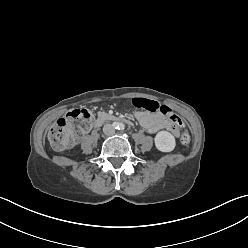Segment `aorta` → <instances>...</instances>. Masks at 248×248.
Masks as SVG:
<instances>
[{
	"label": "aorta",
	"mask_w": 248,
	"mask_h": 248,
	"mask_svg": "<svg viewBox=\"0 0 248 248\" xmlns=\"http://www.w3.org/2000/svg\"><path fill=\"white\" fill-rule=\"evenodd\" d=\"M115 127L120 130V129H123L124 128V124L121 123V122H119V123H116L115 124Z\"/></svg>",
	"instance_id": "aorta-1"
}]
</instances>
